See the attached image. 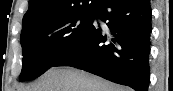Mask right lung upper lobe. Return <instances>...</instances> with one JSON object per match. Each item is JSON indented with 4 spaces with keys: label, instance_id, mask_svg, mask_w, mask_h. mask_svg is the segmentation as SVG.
Masks as SVG:
<instances>
[{
    "label": "right lung upper lobe",
    "instance_id": "right-lung-upper-lobe-1",
    "mask_svg": "<svg viewBox=\"0 0 173 91\" xmlns=\"http://www.w3.org/2000/svg\"><path fill=\"white\" fill-rule=\"evenodd\" d=\"M98 0H29V8L23 17V28L62 17L67 14L93 8Z\"/></svg>",
    "mask_w": 173,
    "mask_h": 91
}]
</instances>
